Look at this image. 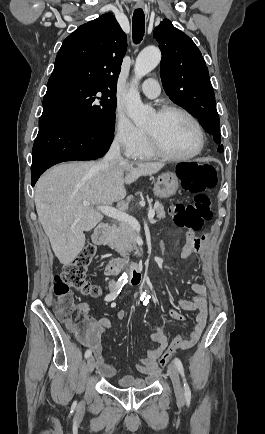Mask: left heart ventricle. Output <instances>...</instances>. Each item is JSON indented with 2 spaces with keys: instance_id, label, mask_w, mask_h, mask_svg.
I'll return each instance as SVG.
<instances>
[{
  "instance_id": "obj_1",
  "label": "left heart ventricle",
  "mask_w": 265,
  "mask_h": 434,
  "mask_svg": "<svg viewBox=\"0 0 265 434\" xmlns=\"http://www.w3.org/2000/svg\"><path fill=\"white\" fill-rule=\"evenodd\" d=\"M145 129L154 133L158 143L175 155L188 154L197 146L196 129L191 121L180 112H170L164 117L155 114Z\"/></svg>"
}]
</instances>
